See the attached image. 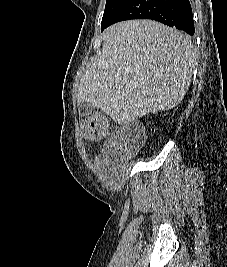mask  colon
<instances>
[{
  "instance_id": "5ec220e1",
  "label": "colon",
  "mask_w": 227,
  "mask_h": 267,
  "mask_svg": "<svg viewBox=\"0 0 227 267\" xmlns=\"http://www.w3.org/2000/svg\"><path fill=\"white\" fill-rule=\"evenodd\" d=\"M81 131L84 138L102 140L109 132V119L106 115L96 113L83 119ZM128 152L140 150L146 141V132L134 123L127 124L118 135Z\"/></svg>"
}]
</instances>
